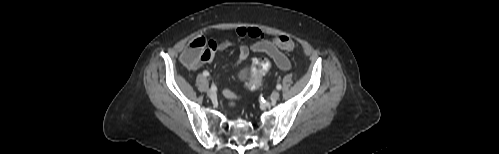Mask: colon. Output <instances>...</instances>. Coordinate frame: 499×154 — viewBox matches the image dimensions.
Returning <instances> with one entry per match:
<instances>
[{"instance_id": "1", "label": "colon", "mask_w": 499, "mask_h": 154, "mask_svg": "<svg viewBox=\"0 0 499 154\" xmlns=\"http://www.w3.org/2000/svg\"><path fill=\"white\" fill-rule=\"evenodd\" d=\"M273 42L284 51H297L295 43L286 35L275 36ZM212 53L209 41L203 36H196L187 44L182 61L187 67L193 68L203 61H208L212 57ZM270 66V62L266 58L255 60L252 63L250 79L247 83L250 90H257L261 87L263 76Z\"/></svg>"}]
</instances>
